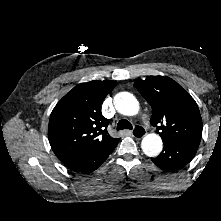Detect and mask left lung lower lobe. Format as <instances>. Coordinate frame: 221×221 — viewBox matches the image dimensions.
I'll return each mask as SVG.
<instances>
[{
	"instance_id": "left-lung-lower-lobe-1",
	"label": "left lung lower lobe",
	"mask_w": 221,
	"mask_h": 221,
	"mask_svg": "<svg viewBox=\"0 0 221 221\" xmlns=\"http://www.w3.org/2000/svg\"><path fill=\"white\" fill-rule=\"evenodd\" d=\"M201 139H192L181 143H164L162 153L151 160L159 168L174 171L184 167L195 156Z\"/></svg>"
}]
</instances>
